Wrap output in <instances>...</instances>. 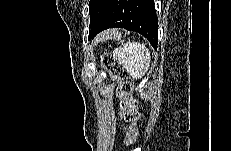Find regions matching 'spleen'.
Listing matches in <instances>:
<instances>
[{
	"mask_svg": "<svg viewBox=\"0 0 231 151\" xmlns=\"http://www.w3.org/2000/svg\"><path fill=\"white\" fill-rule=\"evenodd\" d=\"M113 57L134 79L142 78L150 67V52L140 42H126L113 51Z\"/></svg>",
	"mask_w": 231,
	"mask_h": 151,
	"instance_id": "obj_1",
	"label": "spleen"
}]
</instances>
